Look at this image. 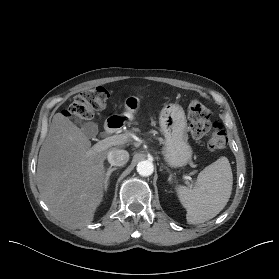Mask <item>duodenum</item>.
Listing matches in <instances>:
<instances>
[{"mask_svg": "<svg viewBox=\"0 0 279 279\" xmlns=\"http://www.w3.org/2000/svg\"><path fill=\"white\" fill-rule=\"evenodd\" d=\"M121 125V121L119 118H110L107 120L105 124V132L107 134H112L114 133Z\"/></svg>", "mask_w": 279, "mask_h": 279, "instance_id": "410a0bca", "label": "duodenum"}]
</instances>
